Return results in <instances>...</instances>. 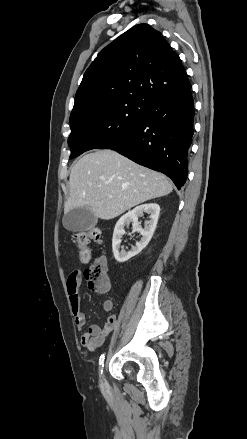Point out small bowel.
Instances as JSON below:
<instances>
[{"instance_id":"obj_1","label":"small bowel","mask_w":247,"mask_h":439,"mask_svg":"<svg viewBox=\"0 0 247 439\" xmlns=\"http://www.w3.org/2000/svg\"><path fill=\"white\" fill-rule=\"evenodd\" d=\"M82 282V272L78 269L73 270L67 279V290L69 300L74 315V320L79 330L83 329L87 324V317L81 310V301L79 296V287ZM114 307L113 301L107 299L103 302V309L106 312L112 311ZM117 315L112 314L108 317L105 325L100 327L96 324L90 325L81 336V344L89 351H95L101 347L109 335V333L116 327Z\"/></svg>"}]
</instances>
